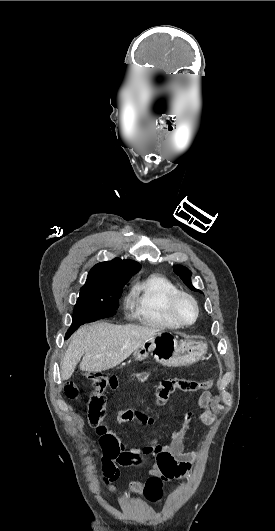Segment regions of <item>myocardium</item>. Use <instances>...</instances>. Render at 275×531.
<instances>
[{
  "label": "myocardium",
  "mask_w": 275,
  "mask_h": 531,
  "mask_svg": "<svg viewBox=\"0 0 275 531\" xmlns=\"http://www.w3.org/2000/svg\"><path fill=\"white\" fill-rule=\"evenodd\" d=\"M182 297H185V298H188L189 300L192 301V303L194 304L195 306V316L194 318L191 320V321H184L182 320L178 314H177V311H176V304H177V301L182 298ZM167 307H168V311H169V314L170 316L179 324V325H182V326H185V325H192L194 324L199 316H200V306H199V303L197 301V299L190 293L188 292H185V291H181V290H176L168 299V302H167Z\"/></svg>",
  "instance_id": "f54148a6"
}]
</instances>
